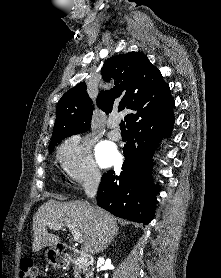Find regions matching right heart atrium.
I'll list each match as a JSON object with an SVG mask.
<instances>
[{"mask_svg":"<svg viewBox=\"0 0 221 278\" xmlns=\"http://www.w3.org/2000/svg\"><path fill=\"white\" fill-rule=\"evenodd\" d=\"M58 157L62 169L74 183L88 185L100 180L91 142L85 135L76 133L67 137L58 148Z\"/></svg>","mask_w":221,"mask_h":278,"instance_id":"obj_1","label":"right heart atrium"}]
</instances>
